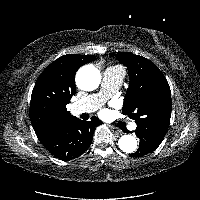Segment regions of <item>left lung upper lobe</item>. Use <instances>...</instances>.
<instances>
[{
    "instance_id": "left-lung-upper-lobe-1",
    "label": "left lung upper lobe",
    "mask_w": 200,
    "mask_h": 200,
    "mask_svg": "<svg viewBox=\"0 0 200 200\" xmlns=\"http://www.w3.org/2000/svg\"><path fill=\"white\" fill-rule=\"evenodd\" d=\"M129 71V88L122 112L137 125L152 127L166 134L170 124L172 101L163 73L148 59L132 53H115Z\"/></svg>"
}]
</instances>
